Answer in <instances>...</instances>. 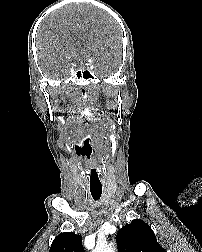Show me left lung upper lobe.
<instances>
[{
	"mask_svg": "<svg viewBox=\"0 0 202 252\" xmlns=\"http://www.w3.org/2000/svg\"><path fill=\"white\" fill-rule=\"evenodd\" d=\"M116 242L119 252H166L150 226L140 219L123 226L117 233Z\"/></svg>",
	"mask_w": 202,
	"mask_h": 252,
	"instance_id": "left-lung-upper-lobe-1",
	"label": "left lung upper lobe"
}]
</instances>
